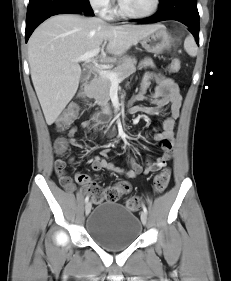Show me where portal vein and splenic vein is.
Instances as JSON below:
<instances>
[{"instance_id": "1", "label": "portal vein and splenic vein", "mask_w": 231, "mask_h": 281, "mask_svg": "<svg viewBox=\"0 0 231 281\" xmlns=\"http://www.w3.org/2000/svg\"><path fill=\"white\" fill-rule=\"evenodd\" d=\"M100 52V48L94 49L93 51L87 52L84 55L80 56L77 58L75 61L76 62H86L89 61L91 58L97 56ZM95 71L99 73V75L104 76L108 78L110 81H115L118 82V74L114 72L107 71L105 69L99 68V67H93Z\"/></svg>"}]
</instances>
